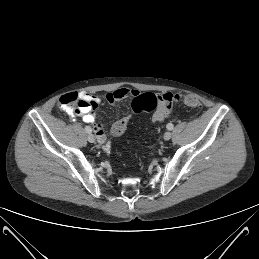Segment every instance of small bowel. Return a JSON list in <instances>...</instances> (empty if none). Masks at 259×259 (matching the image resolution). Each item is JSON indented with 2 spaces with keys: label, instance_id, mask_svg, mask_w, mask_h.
Listing matches in <instances>:
<instances>
[{
  "label": "small bowel",
  "instance_id": "obj_1",
  "mask_svg": "<svg viewBox=\"0 0 259 259\" xmlns=\"http://www.w3.org/2000/svg\"><path fill=\"white\" fill-rule=\"evenodd\" d=\"M138 94V90L121 87L108 92L105 99L108 103L113 104L123 99L135 97ZM175 99V95L170 92H164L158 95V105L152 115V121L161 122L165 120L170 114L171 106ZM99 103L100 99L89 93H68L59 99V106L63 111L70 113L72 116H79L83 122L93 125L98 142L103 144L106 140L104 126L96 123L95 117L91 114V111L95 109ZM75 105H78L79 108L73 110ZM104 149L107 150L108 146H104Z\"/></svg>",
  "mask_w": 259,
  "mask_h": 259
}]
</instances>
